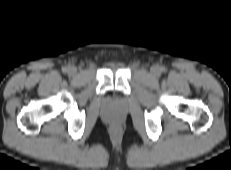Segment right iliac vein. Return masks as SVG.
Here are the masks:
<instances>
[{"instance_id":"obj_1","label":"right iliac vein","mask_w":231,"mask_h":170,"mask_svg":"<svg viewBox=\"0 0 231 170\" xmlns=\"http://www.w3.org/2000/svg\"><path fill=\"white\" fill-rule=\"evenodd\" d=\"M77 73V68L75 67V66H70L69 68H68V74L69 75H75Z\"/></svg>"}]
</instances>
